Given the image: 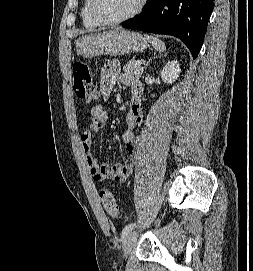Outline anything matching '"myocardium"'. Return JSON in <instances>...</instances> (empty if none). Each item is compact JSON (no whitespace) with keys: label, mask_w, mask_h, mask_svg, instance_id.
Segmentation results:
<instances>
[{"label":"myocardium","mask_w":253,"mask_h":271,"mask_svg":"<svg viewBox=\"0 0 253 271\" xmlns=\"http://www.w3.org/2000/svg\"><path fill=\"white\" fill-rule=\"evenodd\" d=\"M146 2H147V0H139L136 7L127 15H125L121 18L115 19V20H106L99 13L98 0H91V13H92L95 21L98 24H100L102 26H115L120 23L126 22V21L136 17L138 14H140L144 8Z\"/></svg>","instance_id":"myocardium-1"}]
</instances>
